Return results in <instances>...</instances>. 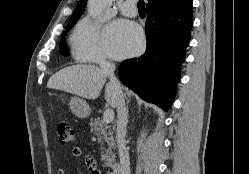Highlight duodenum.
Segmentation results:
<instances>
[{
	"mask_svg": "<svg viewBox=\"0 0 249 174\" xmlns=\"http://www.w3.org/2000/svg\"><path fill=\"white\" fill-rule=\"evenodd\" d=\"M111 169H112L114 174H121V165L120 164H118V163L112 164Z\"/></svg>",
	"mask_w": 249,
	"mask_h": 174,
	"instance_id": "obj_1",
	"label": "duodenum"
}]
</instances>
